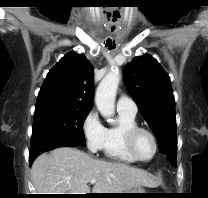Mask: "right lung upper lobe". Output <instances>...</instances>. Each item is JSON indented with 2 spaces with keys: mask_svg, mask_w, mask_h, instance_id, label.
I'll return each mask as SVG.
<instances>
[{
  "mask_svg": "<svg viewBox=\"0 0 208 198\" xmlns=\"http://www.w3.org/2000/svg\"><path fill=\"white\" fill-rule=\"evenodd\" d=\"M56 105L92 108L93 68L83 54L68 53L48 73L36 109Z\"/></svg>",
  "mask_w": 208,
  "mask_h": 198,
  "instance_id": "right-lung-upper-lobe-1",
  "label": "right lung upper lobe"
}]
</instances>
